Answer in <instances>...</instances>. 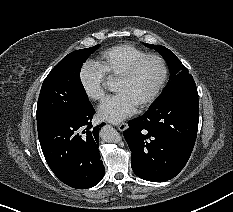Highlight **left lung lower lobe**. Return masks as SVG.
<instances>
[{"mask_svg": "<svg viewBox=\"0 0 233 212\" xmlns=\"http://www.w3.org/2000/svg\"><path fill=\"white\" fill-rule=\"evenodd\" d=\"M198 120V96L179 95L155 101L143 116L129 121L124 137L134 173L152 182L175 177L190 157Z\"/></svg>", "mask_w": 233, "mask_h": 212, "instance_id": "1", "label": "left lung lower lobe"}]
</instances>
